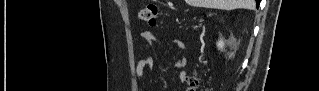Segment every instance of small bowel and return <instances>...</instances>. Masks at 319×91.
Instances as JSON below:
<instances>
[{
  "mask_svg": "<svg viewBox=\"0 0 319 91\" xmlns=\"http://www.w3.org/2000/svg\"><path fill=\"white\" fill-rule=\"evenodd\" d=\"M141 37H142L143 42L147 45L154 44V42L156 40L154 33L150 32V31H144L141 34ZM172 45L179 50L186 49L185 43L180 39H174L172 41ZM187 63H188V60L186 57H182L174 62V67L179 70L178 78L182 83H184L187 79V73L184 69L186 67ZM153 64H154L153 57L142 58L136 66L137 76L142 77L149 69H151L153 67Z\"/></svg>",
  "mask_w": 319,
  "mask_h": 91,
  "instance_id": "small-bowel-1",
  "label": "small bowel"
}]
</instances>
